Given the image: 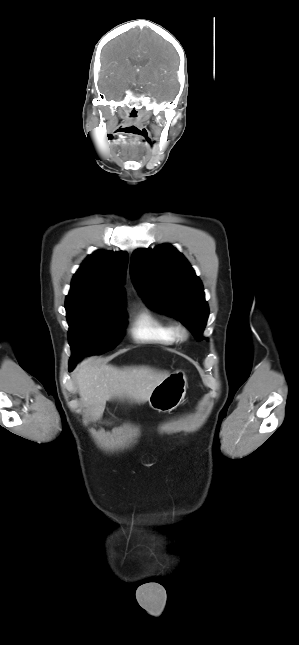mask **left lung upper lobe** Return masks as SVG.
I'll list each match as a JSON object with an SVG mask.
<instances>
[{
    "label": "left lung upper lobe",
    "mask_w": 299,
    "mask_h": 645,
    "mask_svg": "<svg viewBox=\"0 0 299 645\" xmlns=\"http://www.w3.org/2000/svg\"><path fill=\"white\" fill-rule=\"evenodd\" d=\"M131 278L146 304L183 322L198 341L209 308L200 279L186 258L169 244L136 250Z\"/></svg>",
    "instance_id": "5c2ea615"
}]
</instances>
